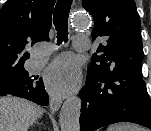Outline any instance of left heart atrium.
Instances as JSON below:
<instances>
[{"label": "left heart atrium", "instance_id": "obj_1", "mask_svg": "<svg viewBox=\"0 0 151 131\" xmlns=\"http://www.w3.org/2000/svg\"><path fill=\"white\" fill-rule=\"evenodd\" d=\"M79 79V68L70 56H62L56 60L45 76L47 88L55 96H63L73 91Z\"/></svg>", "mask_w": 151, "mask_h": 131}]
</instances>
